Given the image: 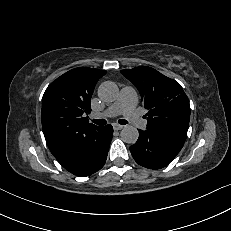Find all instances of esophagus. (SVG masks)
Returning a JSON list of instances; mask_svg holds the SVG:
<instances>
[{"label": "esophagus", "instance_id": "obj_1", "mask_svg": "<svg viewBox=\"0 0 231 231\" xmlns=\"http://www.w3.org/2000/svg\"><path fill=\"white\" fill-rule=\"evenodd\" d=\"M114 130H121L123 128V125L120 124H113Z\"/></svg>", "mask_w": 231, "mask_h": 231}]
</instances>
